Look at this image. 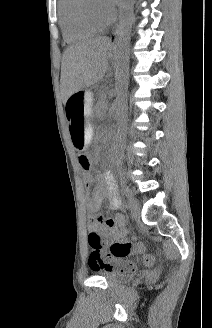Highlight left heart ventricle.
I'll use <instances>...</instances> for the list:
<instances>
[{
    "label": "left heart ventricle",
    "mask_w": 212,
    "mask_h": 328,
    "mask_svg": "<svg viewBox=\"0 0 212 328\" xmlns=\"http://www.w3.org/2000/svg\"><path fill=\"white\" fill-rule=\"evenodd\" d=\"M92 7L94 11L102 18H108L111 14V11L104 7L102 0H92Z\"/></svg>",
    "instance_id": "obj_1"
}]
</instances>
